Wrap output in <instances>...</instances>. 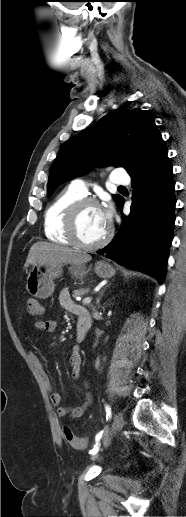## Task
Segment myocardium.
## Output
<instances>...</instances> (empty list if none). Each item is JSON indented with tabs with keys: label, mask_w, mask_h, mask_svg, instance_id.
<instances>
[{
	"label": "myocardium",
	"mask_w": 186,
	"mask_h": 517,
	"mask_svg": "<svg viewBox=\"0 0 186 517\" xmlns=\"http://www.w3.org/2000/svg\"><path fill=\"white\" fill-rule=\"evenodd\" d=\"M86 206H99L98 201L91 197H82L76 200L68 209L66 214V232L71 242L82 249L94 250L98 249L108 243L112 236V228L108 227L104 236L96 242L87 243L84 242L79 235L78 231V220L81 211Z\"/></svg>",
	"instance_id": "obj_1"
}]
</instances>
